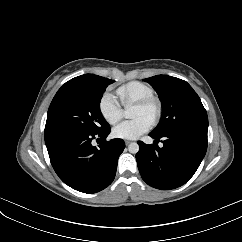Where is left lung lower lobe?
I'll list each match as a JSON object with an SVG mask.
<instances>
[{
    "instance_id": "0a47b994",
    "label": "left lung lower lobe",
    "mask_w": 242,
    "mask_h": 242,
    "mask_svg": "<svg viewBox=\"0 0 242 242\" xmlns=\"http://www.w3.org/2000/svg\"><path fill=\"white\" fill-rule=\"evenodd\" d=\"M154 144L139 141L136 154L142 179L150 186L170 190L185 184L196 172L207 150V129L190 127L156 136ZM163 138V147L157 144ZM157 142V143H156Z\"/></svg>"
}]
</instances>
